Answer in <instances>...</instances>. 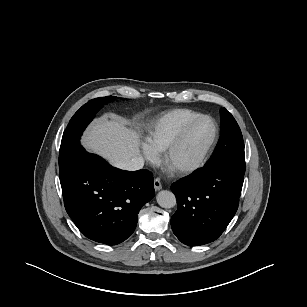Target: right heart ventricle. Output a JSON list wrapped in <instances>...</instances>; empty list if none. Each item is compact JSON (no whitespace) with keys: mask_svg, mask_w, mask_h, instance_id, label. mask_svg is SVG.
<instances>
[{"mask_svg":"<svg viewBox=\"0 0 307 307\" xmlns=\"http://www.w3.org/2000/svg\"><path fill=\"white\" fill-rule=\"evenodd\" d=\"M202 115L191 109H173L160 116L147 139L148 145L156 152L165 151L183 126Z\"/></svg>","mask_w":307,"mask_h":307,"instance_id":"e07e8e85","label":"right heart ventricle"}]
</instances>
